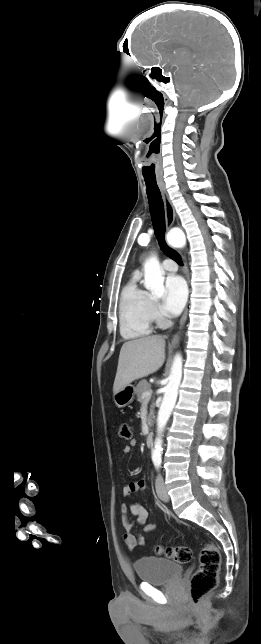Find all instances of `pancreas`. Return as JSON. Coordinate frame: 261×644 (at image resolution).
<instances>
[{
	"instance_id": "pancreas-1",
	"label": "pancreas",
	"mask_w": 261,
	"mask_h": 644,
	"mask_svg": "<svg viewBox=\"0 0 261 644\" xmlns=\"http://www.w3.org/2000/svg\"><path fill=\"white\" fill-rule=\"evenodd\" d=\"M150 390H151V385L146 380H142V381H140L138 383L137 388H136V394H137L138 401L140 403H142V402H144L146 400V399H144L142 397L143 393L146 392V391H150ZM153 418H154V404H152L150 406V413H149V416H148L149 424H151Z\"/></svg>"
}]
</instances>
